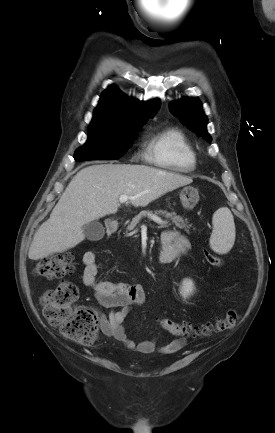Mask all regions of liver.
Segmentation results:
<instances>
[{
  "label": "liver",
  "mask_w": 275,
  "mask_h": 433,
  "mask_svg": "<svg viewBox=\"0 0 275 433\" xmlns=\"http://www.w3.org/2000/svg\"><path fill=\"white\" fill-rule=\"evenodd\" d=\"M192 179L146 165L101 164L80 170L37 230L28 257L38 260L75 247L85 238L83 226L115 214L119 197H132L135 207L147 206Z\"/></svg>",
  "instance_id": "1"
}]
</instances>
